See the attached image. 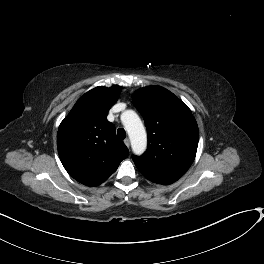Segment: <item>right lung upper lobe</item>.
<instances>
[{
	"mask_svg": "<svg viewBox=\"0 0 264 264\" xmlns=\"http://www.w3.org/2000/svg\"><path fill=\"white\" fill-rule=\"evenodd\" d=\"M120 92L118 85L90 90L59 126L60 160L70 176L84 185H100L128 157L127 147L116 137L115 127L107 120V113Z\"/></svg>",
	"mask_w": 264,
	"mask_h": 264,
	"instance_id": "obj_1",
	"label": "right lung upper lobe"
}]
</instances>
